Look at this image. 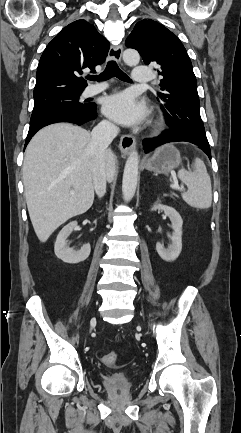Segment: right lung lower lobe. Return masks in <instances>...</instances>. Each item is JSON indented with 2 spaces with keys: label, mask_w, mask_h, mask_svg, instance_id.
<instances>
[{
  "label": "right lung lower lobe",
  "mask_w": 241,
  "mask_h": 433,
  "mask_svg": "<svg viewBox=\"0 0 241 433\" xmlns=\"http://www.w3.org/2000/svg\"><path fill=\"white\" fill-rule=\"evenodd\" d=\"M96 105L88 103L86 107L81 109H63L49 113L38 120L30 123L29 132L26 138L25 147L41 128L58 122H70L77 125H82L96 117Z\"/></svg>",
  "instance_id": "1"
}]
</instances>
